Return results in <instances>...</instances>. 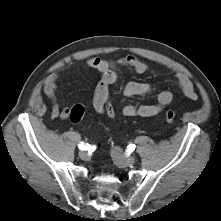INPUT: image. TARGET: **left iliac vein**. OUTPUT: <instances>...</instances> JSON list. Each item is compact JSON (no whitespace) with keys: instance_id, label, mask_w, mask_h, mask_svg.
Returning a JSON list of instances; mask_svg holds the SVG:
<instances>
[{"instance_id":"4c4485c4","label":"left iliac vein","mask_w":221,"mask_h":221,"mask_svg":"<svg viewBox=\"0 0 221 221\" xmlns=\"http://www.w3.org/2000/svg\"><path fill=\"white\" fill-rule=\"evenodd\" d=\"M112 158L114 162L119 166V167H126L129 165H133L135 163V157L133 156H125L123 154V151L119 147H114L111 151Z\"/></svg>"}]
</instances>
